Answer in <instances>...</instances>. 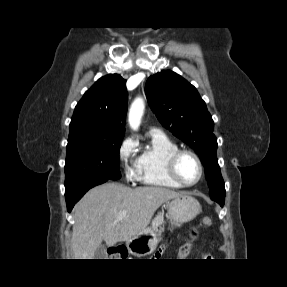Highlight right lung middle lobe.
Masks as SVG:
<instances>
[{"label":"right lung middle lobe","mask_w":287,"mask_h":287,"mask_svg":"<svg viewBox=\"0 0 287 287\" xmlns=\"http://www.w3.org/2000/svg\"><path fill=\"white\" fill-rule=\"evenodd\" d=\"M123 136H97L88 129L71 131L65 164V191L91 180H118Z\"/></svg>","instance_id":"obj_1"}]
</instances>
